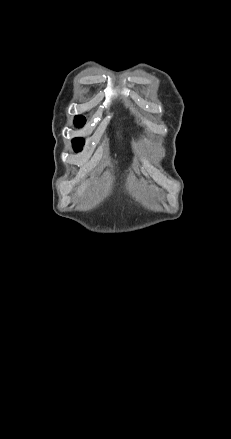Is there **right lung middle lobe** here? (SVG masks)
I'll return each mask as SVG.
<instances>
[{
    "instance_id": "right-lung-middle-lobe-1",
    "label": "right lung middle lobe",
    "mask_w": 231,
    "mask_h": 439,
    "mask_svg": "<svg viewBox=\"0 0 231 439\" xmlns=\"http://www.w3.org/2000/svg\"><path fill=\"white\" fill-rule=\"evenodd\" d=\"M85 122H86V120L83 116H76L75 121H74V123L77 127H82L85 124ZM84 143H85V141L83 138L73 139L74 150L76 152L81 151Z\"/></svg>"
}]
</instances>
